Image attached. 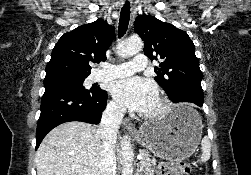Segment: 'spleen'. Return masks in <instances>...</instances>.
I'll use <instances>...</instances> for the list:
<instances>
[{
	"mask_svg": "<svg viewBox=\"0 0 251 175\" xmlns=\"http://www.w3.org/2000/svg\"><path fill=\"white\" fill-rule=\"evenodd\" d=\"M201 149H202V155L200 157V161L202 163V161H208L211 155V141L208 135H204L201 141Z\"/></svg>",
	"mask_w": 251,
	"mask_h": 175,
	"instance_id": "1",
	"label": "spleen"
}]
</instances>
